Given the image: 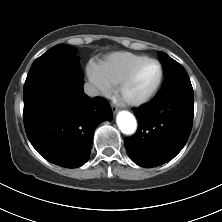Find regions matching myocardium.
Segmentation results:
<instances>
[{
    "label": "myocardium",
    "mask_w": 222,
    "mask_h": 222,
    "mask_svg": "<svg viewBox=\"0 0 222 222\" xmlns=\"http://www.w3.org/2000/svg\"><path fill=\"white\" fill-rule=\"evenodd\" d=\"M148 62H153L158 66L159 74H158V79L155 85L149 91L147 95H145L144 97L140 99H136V100L124 99L123 93L125 89L132 82V80L134 79L139 69ZM162 80H163V68H162L161 63L158 60L153 59V58H145L141 60L140 62H138L136 65H134L130 69V71L125 75V77L119 82V84L117 85L116 93L127 105L132 106V107H139L151 101V99L156 95L157 91L159 90L162 84Z\"/></svg>",
    "instance_id": "f54148a6"
}]
</instances>
